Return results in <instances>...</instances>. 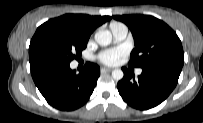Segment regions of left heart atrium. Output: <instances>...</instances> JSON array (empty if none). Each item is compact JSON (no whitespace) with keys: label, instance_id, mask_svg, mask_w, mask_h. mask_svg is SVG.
<instances>
[{"label":"left heart atrium","instance_id":"left-heart-atrium-1","mask_svg":"<svg viewBox=\"0 0 203 123\" xmlns=\"http://www.w3.org/2000/svg\"><path fill=\"white\" fill-rule=\"evenodd\" d=\"M124 51L122 49H110L100 53L99 60L107 65L116 64L123 56Z\"/></svg>","mask_w":203,"mask_h":123}]
</instances>
